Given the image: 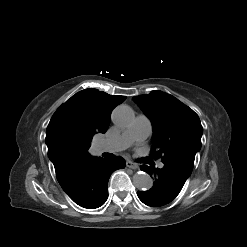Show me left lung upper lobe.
<instances>
[{
    "label": "left lung upper lobe",
    "instance_id": "1",
    "mask_svg": "<svg viewBox=\"0 0 247 247\" xmlns=\"http://www.w3.org/2000/svg\"><path fill=\"white\" fill-rule=\"evenodd\" d=\"M153 126L152 156H162L170 165L189 176L195 154L201 148L203 128L198 115L175 97L162 91L133 97Z\"/></svg>",
    "mask_w": 247,
    "mask_h": 247
}]
</instances>
